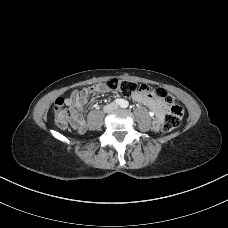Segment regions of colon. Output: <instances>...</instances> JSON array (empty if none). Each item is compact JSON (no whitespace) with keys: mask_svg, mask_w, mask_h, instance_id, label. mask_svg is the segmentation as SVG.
I'll list each match as a JSON object with an SVG mask.
<instances>
[{"mask_svg":"<svg viewBox=\"0 0 228 228\" xmlns=\"http://www.w3.org/2000/svg\"><path fill=\"white\" fill-rule=\"evenodd\" d=\"M97 85V84H93ZM107 90H116L121 93H148L156 96L168 110V115L165 117L162 130L166 133L174 131L180 124L183 110L177 103V99L162 88L152 89L145 84H137L132 81L113 79L105 84H99ZM54 120L58 127L66 128L74 119V111L65 104L63 98H58L53 106Z\"/></svg>","mask_w":228,"mask_h":228,"instance_id":"colon-1","label":"colon"}]
</instances>
